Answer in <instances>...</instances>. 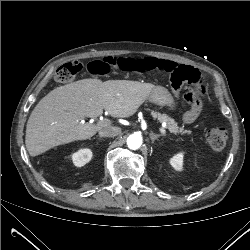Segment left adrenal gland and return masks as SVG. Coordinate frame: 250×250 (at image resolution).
<instances>
[{"label": "left adrenal gland", "instance_id": "obj_1", "mask_svg": "<svg viewBox=\"0 0 250 250\" xmlns=\"http://www.w3.org/2000/svg\"><path fill=\"white\" fill-rule=\"evenodd\" d=\"M164 134H155L153 132L150 133V138L152 140V143H154L160 136H163Z\"/></svg>", "mask_w": 250, "mask_h": 250}]
</instances>
